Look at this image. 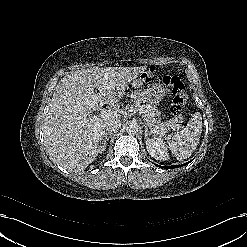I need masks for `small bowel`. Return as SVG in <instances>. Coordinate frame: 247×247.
<instances>
[{
	"mask_svg": "<svg viewBox=\"0 0 247 247\" xmlns=\"http://www.w3.org/2000/svg\"><path fill=\"white\" fill-rule=\"evenodd\" d=\"M153 76V70L150 69L146 74H145V80H150Z\"/></svg>",
	"mask_w": 247,
	"mask_h": 247,
	"instance_id": "c3829d8e",
	"label": "small bowel"
}]
</instances>
